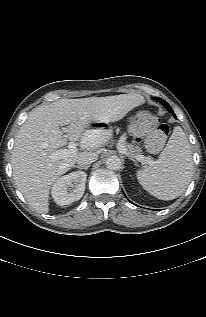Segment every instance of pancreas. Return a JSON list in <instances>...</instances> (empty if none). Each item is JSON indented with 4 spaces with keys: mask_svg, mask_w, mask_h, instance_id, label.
<instances>
[{
    "mask_svg": "<svg viewBox=\"0 0 206 317\" xmlns=\"http://www.w3.org/2000/svg\"><path fill=\"white\" fill-rule=\"evenodd\" d=\"M93 131V130H92ZM105 138V137H104ZM120 140L122 141V145L124 147L125 150H127L129 153L137 156V155H140V148L139 147H135L134 145H132L131 143L129 142H125L127 140V135L126 134H121L120 135Z\"/></svg>",
    "mask_w": 206,
    "mask_h": 317,
    "instance_id": "1",
    "label": "pancreas"
}]
</instances>
